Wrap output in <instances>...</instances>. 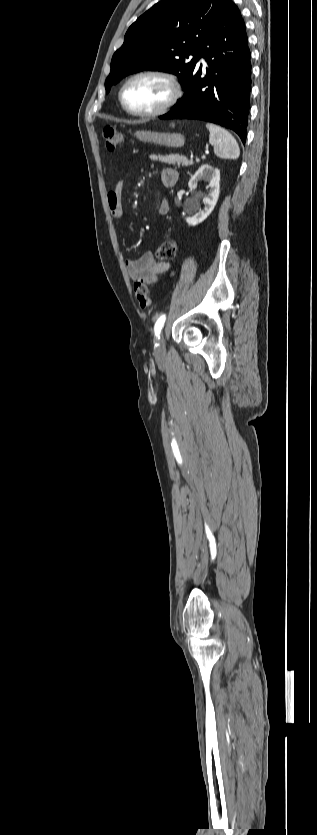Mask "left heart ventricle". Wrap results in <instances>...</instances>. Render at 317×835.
Masks as SVG:
<instances>
[{
    "mask_svg": "<svg viewBox=\"0 0 317 835\" xmlns=\"http://www.w3.org/2000/svg\"><path fill=\"white\" fill-rule=\"evenodd\" d=\"M169 94V87L163 80L157 77H141L128 84L123 97L130 109L146 112L161 106Z\"/></svg>",
    "mask_w": 317,
    "mask_h": 835,
    "instance_id": "obj_1",
    "label": "left heart ventricle"
}]
</instances>
